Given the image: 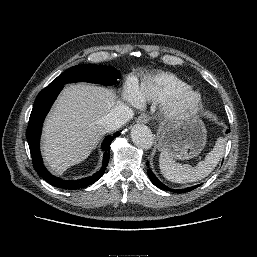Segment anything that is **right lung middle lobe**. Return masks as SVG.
I'll use <instances>...</instances> for the list:
<instances>
[{"label":"right lung middle lobe","instance_id":"right-lung-middle-lobe-1","mask_svg":"<svg viewBox=\"0 0 257 257\" xmlns=\"http://www.w3.org/2000/svg\"><path fill=\"white\" fill-rule=\"evenodd\" d=\"M120 77V72L112 67L104 65H76L60 74L48 87L81 81L102 85H114Z\"/></svg>","mask_w":257,"mask_h":257}]
</instances>
